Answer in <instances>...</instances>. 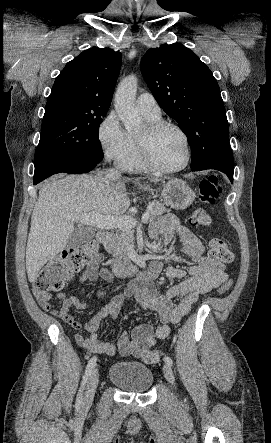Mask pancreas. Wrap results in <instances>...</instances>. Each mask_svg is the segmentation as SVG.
<instances>
[{"label":"pancreas","instance_id":"1","mask_svg":"<svg viewBox=\"0 0 271 443\" xmlns=\"http://www.w3.org/2000/svg\"><path fill=\"white\" fill-rule=\"evenodd\" d=\"M151 210L149 212L150 218H155V216H162L165 212H169L165 208V204H159V202H149ZM134 239V229L132 227H126V229H120L118 233H114L112 239H109L108 243H105L106 251L113 253V257H121V259H126V251L129 247V243H132Z\"/></svg>","mask_w":271,"mask_h":443}]
</instances>
